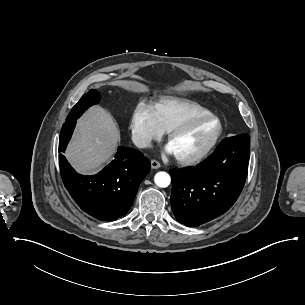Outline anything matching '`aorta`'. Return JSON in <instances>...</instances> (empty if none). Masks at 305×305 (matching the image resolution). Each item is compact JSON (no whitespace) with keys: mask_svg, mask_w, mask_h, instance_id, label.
<instances>
[{"mask_svg":"<svg viewBox=\"0 0 305 305\" xmlns=\"http://www.w3.org/2000/svg\"><path fill=\"white\" fill-rule=\"evenodd\" d=\"M154 182L158 187L166 188L171 183V177L168 173L161 171L155 174Z\"/></svg>","mask_w":305,"mask_h":305,"instance_id":"1","label":"aorta"}]
</instances>
